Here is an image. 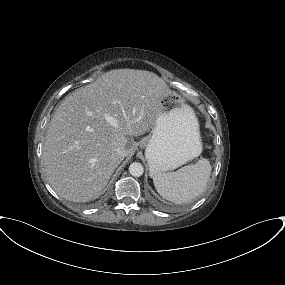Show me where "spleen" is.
<instances>
[{
	"instance_id": "spleen-1",
	"label": "spleen",
	"mask_w": 285,
	"mask_h": 285,
	"mask_svg": "<svg viewBox=\"0 0 285 285\" xmlns=\"http://www.w3.org/2000/svg\"><path fill=\"white\" fill-rule=\"evenodd\" d=\"M211 170L209 160L202 158L196 164L184 166L175 172L154 175L153 183L163 198L183 204L205 191Z\"/></svg>"
}]
</instances>
